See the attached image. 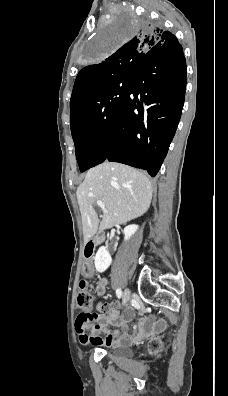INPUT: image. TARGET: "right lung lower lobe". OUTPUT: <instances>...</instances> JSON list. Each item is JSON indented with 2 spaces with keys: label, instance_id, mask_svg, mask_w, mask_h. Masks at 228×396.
Instances as JSON below:
<instances>
[{
  "label": "right lung lower lobe",
  "instance_id": "1",
  "mask_svg": "<svg viewBox=\"0 0 228 396\" xmlns=\"http://www.w3.org/2000/svg\"><path fill=\"white\" fill-rule=\"evenodd\" d=\"M186 89L181 45L153 51L137 65L115 120L104 161L158 173L177 129Z\"/></svg>",
  "mask_w": 228,
  "mask_h": 396
}]
</instances>
